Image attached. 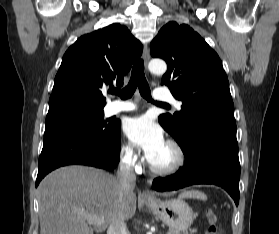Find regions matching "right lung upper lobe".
<instances>
[{
    "mask_svg": "<svg viewBox=\"0 0 279 234\" xmlns=\"http://www.w3.org/2000/svg\"><path fill=\"white\" fill-rule=\"evenodd\" d=\"M141 43L118 23L81 36L65 52L55 77L49 110L77 105L103 109L102 89L123 85L142 54Z\"/></svg>",
    "mask_w": 279,
    "mask_h": 234,
    "instance_id": "right-lung-upper-lobe-1",
    "label": "right lung upper lobe"
}]
</instances>
